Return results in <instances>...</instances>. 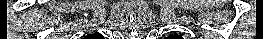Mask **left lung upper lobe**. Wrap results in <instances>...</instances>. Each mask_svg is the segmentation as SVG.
I'll list each match as a JSON object with an SVG mask.
<instances>
[{
  "label": "left lung upper lobe",
  "mask_w": 263,
  "mask_h": 39,
  "mask_svg": "<svg viewBox=\"0 0 263 39\" xmlns=\"http://www.w3.org/2000/svg\"><path fill=\"white\" fill-rule=\"evenodd\" d=\"M166 39H183V38L177 34H174V35L168 36Z\"/></svg>",
  "instance_id": "left-lung-upper-lobe-1"
}]
</instances>
